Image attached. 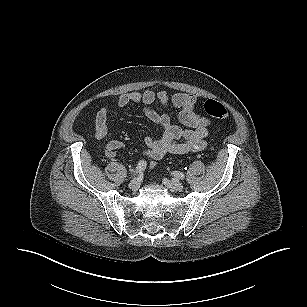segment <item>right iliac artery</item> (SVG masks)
I'll return each mask as SVG.
<instances>
[{"mask_svg":"<svg viewBox=\"0 0 307 307\" xmlns=\"http://www.w3.org/2000/svg\"><path fill=\"white\" fill-rule=\"evenodd\" d=\"M146 161L142 160L138 163L136 169L131 173L130 178L137 176L138 174L142 173L146 168Z\"/></svg>","mask_w":307,"mask_h":307,"instance_id":"1","label":"right iliac artery"}]
</instances>
